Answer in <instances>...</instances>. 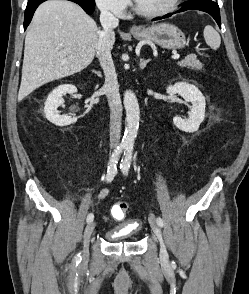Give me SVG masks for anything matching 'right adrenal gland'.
Instances as JSON below:
<instances>
[{
	"label": "right adrenal gland",
	"instance_id": "1",
	"mask_svg": "<svg viewBox=\"0 0 249 294\" xmlns=\"http://www.w3.org/2000/svg\"><path fill=\"white\" fill-rule=\"evenodd\" d=\"M95 73H97L98 75L100 74V72H98V71H94Z\"/></svg>",
	"mask_w": 249,
	"mask_h": 294
}]
</instances>
